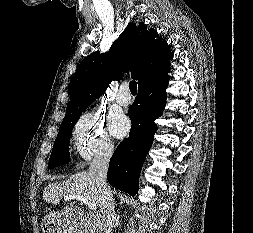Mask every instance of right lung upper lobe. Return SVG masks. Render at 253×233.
Segmentation results:
<instances>
[{
	"label": "right lung upper lobe",
	"instance_id": "right-lung-upper-lobe-1",
	"mask_svg": "<svg viewBox=\"0 0 253 233\" xmlns=\"http://www.w3.org/2000/svg\"><path fill=\"white\" fill-rule=\"evenodd\" d=\"M173 58L168 44L143 22L129 23L108 53L96 51L79 64L70 84V101L64 119L85 111L112 80L131 72L138 86L148 78L169 69Z\"/></svg>",
	"mask_w": 253,
	"mask_h": 233
}]
</instances>
